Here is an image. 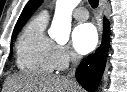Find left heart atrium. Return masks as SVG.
Instances as JSON below:
<instances>
[{
  "instance_id": "39dd6f15",
  "label": "left heart atrium",
  "mask_w": 127,
  "mask_h": 92,
  "mask_svg": "<svg viewBox=\"0 0 127 92\" xmlns=\"http://www.w3.org/2000/svg\"><path fill=\"white\" fill-rule=\"evenodd\" d=\"M73 47L79 54L94 50L98 43L96 28L91 23H82L75 27L72 34Z\"/></svg>"
}]
</instances>
